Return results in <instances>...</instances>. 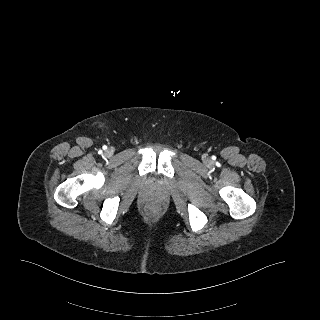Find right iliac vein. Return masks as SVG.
Masks as SVG:
<instances>
[{
	"mask_svg": "<svg viewBox=\"0 0 320 320\" xmlns=\"http://www.w3.org/2000/svg\"><path fill=\"white\" fill-rule=\"evenodd\" d=\"M105 154L107 156H111L113 154V150L112 149H108V150L105 151Z\"/></svg>",
	"mask_w": 320,
	"mask_h": 320,
	"instance_id": "63e3f726",
	"label": "right iliac vein"
}]
</instances>
